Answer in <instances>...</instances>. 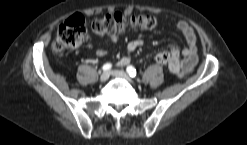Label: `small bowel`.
Listing matches in <instances>:
<instances>
[{
	"mask_svg": "<svg viewBox=\"0 0 247 145\" xmlns=\"http://www.w3.org/2000/svg\"><path fill=\"white\" fill-rule=\"evenodd\" d=\"M177 29L181 32V34L185 38L186 46L180 51L176 46L171 45L169 52H166L169 55V61L166 64L168 65L170 72H172L173 74L189 73L194 69V67L198 62L197 47H196L197 37L192 27L186 21H179L177 23ZM118 40H119L118 35L110 36V41L112 43H116L118 42ZM143 44L144 41L140 38H136L129 41L127 44L128 54L126 56H123L117 62V66L124 67L128 65L131 61V54L135 52L138 48H140ZM106 54L107 51L104 49H98L96 51V55L98 57H104L106 56Z\"/></svg>",
	"mask_w": 247,
	"mask_h": 145,
	"instance_id": "c3829d8e",
	"label": "small bowel"
}]
</instances>
